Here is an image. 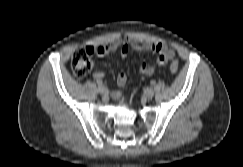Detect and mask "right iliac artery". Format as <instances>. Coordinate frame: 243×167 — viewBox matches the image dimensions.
I'll return each mask as SVG.
<instances>
[{"instance_id":"82829eb1","label":"right iliac artery","mask_w":243,"mask_h":167,"mask_svg":"<svg viewBox=\"0 0 243 167\" xmlns=\"http://www.w3.org/2000/svg\"><path fill=\"white\" fill-rule=\"evenodd\" d=\"M97 85H98V87H102L103 86V82L102 81H97Z\"/></svg>"}]
</instances>
